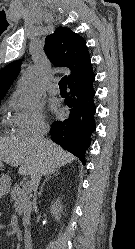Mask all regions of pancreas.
<instances>
[{
	"instance_id": "obj_1",
	"label": "pancreas",
	"mask_w": 135,
	"mask_h": 249,
	"mask_svg": "<svg viewBox=\"0 0 135 249\" xmlns=\"http://www.w3.org/2000/svg\"><path fill=\"white\" fill-rule=\"evenodd\" d=\"M28 192L21 189L19 185H15L11 189V198L14 200V207L16 211L22 212L24 215L28 216L31 210V202L28 196Z\"/></svg>"
}]
</instances>
